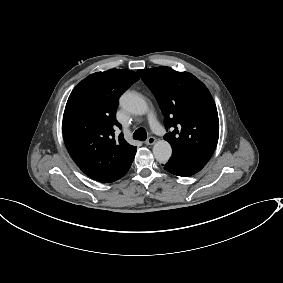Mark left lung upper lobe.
<instances>
[{
    "label": "left lung upper lobe",
    "instance_id": "1",
    "mask_svg": "<svg viewBox=\"0 0 283 283\" xmlns=\"http://www.w3.org/2000/svg\"><path fill=\"white\" fill-rule=\"evenodd\" d=\"M142 80L157 99L164 114V139L172 155L206 164L219 137V119L207 87L188 72L170 67L138 70Z\"/></svg>",
    "mask_w": 283,
    "mask_h": 283
}]
</instances>
